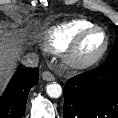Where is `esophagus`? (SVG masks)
Returning a JSON list of instances; mask_svg holds the SVG:
<instances>
[{"instance_id":"esophagus-1","label":"esophagus","mask_w":118,"mask_h":118,"mask_svg":"<svg viewBox=\"0 0 118 118\" xmlns=\"http://www.w3.org/2000/svg\"><path fill=\"white\" fill-rule=\"evenodd\" d=\"M42 79L45 80V81H53V80H55V77L51 72L44 71L42 73Z\"/></svg>"}]
</instances>
